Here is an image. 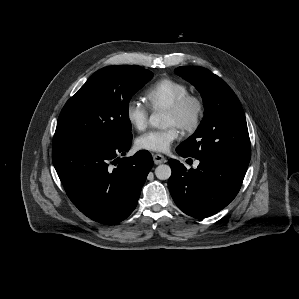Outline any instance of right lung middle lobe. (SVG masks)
Here are the masks:
<instances>
[{"mask_svg": "<svg viewBox=\"0 0 299 299\" xmlns=\"http://www.w3.org/2000/svg\"><path fill=\"white\" fill-rule=\"evenodd\" d=\"M152 76L137 65L96 71L63 107L54 139L104 143L131 137L129 101Z\"/></svg>", "mask_w": 299, "mask_h": 299, "instance_id": "right-lung-middle-lobe-1", "label": "right lung middle lobe"}]
</instances>
